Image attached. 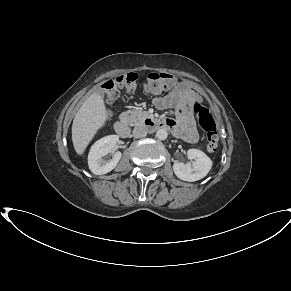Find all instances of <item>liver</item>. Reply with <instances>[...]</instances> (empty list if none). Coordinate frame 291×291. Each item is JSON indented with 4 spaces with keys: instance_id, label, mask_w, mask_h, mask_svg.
<instances>
[{
    "instance_id": "6515ba94",
    "label": "liver",
    "mask_w": 291,
    "mask_h": 291,
    "mask_svg": "<svg viewBox=\"0 0 291 291\" xmlns=\"http://www.w3.org/2000/svg\"><path fill=\"white\" fill-rule=\"evenodd\" d=\"M108 120L105 102L100 93H92L80 106L72 124V142L78 155H82L98 130Z\"/></svg>"
}]
</instances>
